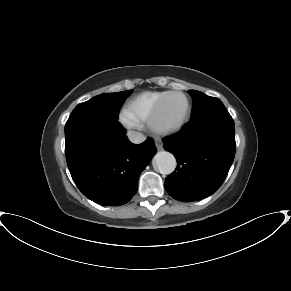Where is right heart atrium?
Returning a JSON list of instances; mask_svg holds the SVG:
<instances>
[{
    "instance_id": "obj_1",
    "label": "right heart atrium",
    "mask_w": 291,
    "mask_h": 291,
    "mask_svg": "<svg viewBox=\"0 0 291 291\" xmlns=\"http://www.w3.org/2000/svg\"><path fill=\"white\" fill-rule=\"evenodd\" d=\"M120 122L127 128H133L137 125V122L127 112L120 115Z\"/></svg>"
}]
</instances>
